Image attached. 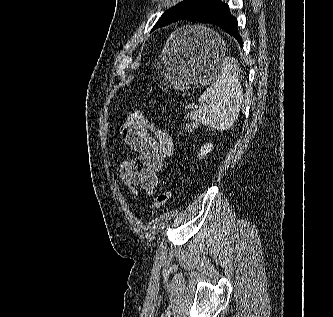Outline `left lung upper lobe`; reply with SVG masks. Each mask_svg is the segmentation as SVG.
<instances>
[{
	"label": "left lung upper lobe",
	"mask_w": 333,
	"mask_h": 317,
	"mask_svg": "<svg viewBox=\"0 0 333 317\" xmlns=\"http://www.w3.org/2000/svg\"><path fill=\"white\" fill-rule=\"evenodd\" d=\"M213 0H184L165 11L154 25L153 30L165 26L171 22L181 20L190 11L206 5Z\"/></svg>",
	"instance_id": "5c2ea615"
}]
</instances>
